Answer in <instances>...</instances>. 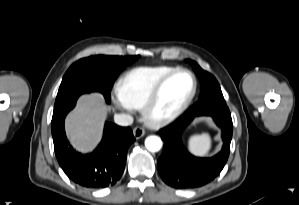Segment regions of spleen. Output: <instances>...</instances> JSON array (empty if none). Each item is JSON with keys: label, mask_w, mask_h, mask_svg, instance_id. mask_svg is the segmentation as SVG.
<instances>
[{"label": "spleen", "mask_w": 299, "mask_h": 205, "mask_svg": "<svg viewBox=\"0 0 299 205\" xmlns=\"http://www.w3.org/2000/svg\"><path fill=\"white\" fill-rule=\"evenodd\" d=\"M188 150L195 155L204 156L211 148V138L208 133L192 135L188 139Z\"/></svg>", "instance_id": "1"}]
</instances>
